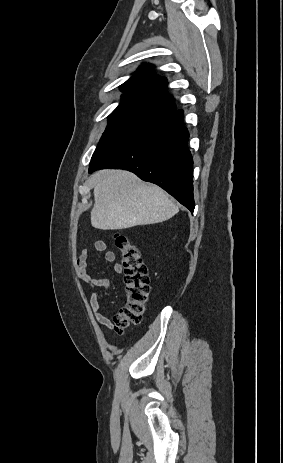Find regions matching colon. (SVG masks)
Segmentation results:
<instances>
[{
  "label": "colon",
  "instance_id": "1",
  "mask_svg": "<svg viewBox=\"0 0 283 463\" xmlns=\"http://www.w3.org/2000/svg\"><path fill=\"white\" fill-rule=\"evenodd\" d=\"M114 241L122 258L126 300L114 318L118 332L139 323L146 310L150 296L148 270L138 248L123 234L116 233Z\"/></svg>",
  "mask_w": 283,
  "mask_h": 463
}]
</instances>
